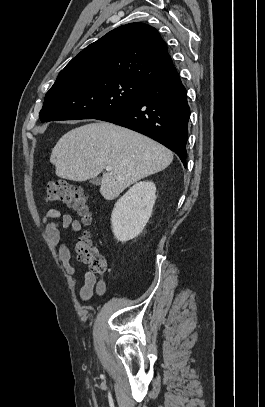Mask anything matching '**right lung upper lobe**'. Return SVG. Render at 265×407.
Masks as SVG:
<instances>
[{"label":"right lung upper lobe","instance_id":"1","mask_svg":"<svg viewBox=\"0 0 265 407\" xmlns=\"http://www.w3.org/2000/svg\"><path fill=\"white\" fill-rule=\"evenodd\" d=\"M175 71L157 30L137 22L122 25L87 46L65 66L56 82L100 75L152 86Z\"/></svg>","mask_w":265,"mask_h":407}]
</instances>
